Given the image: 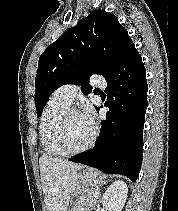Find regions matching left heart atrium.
<instances>
[{
  "mask_svg": "<svg viewBox=\"0 0 178 211\" xmlns=\"http://www.w3.org/2000/svg\"><path fill=\"white\" fill-rule=\"evenodd\" d=\"M80 115L89 126L94 128L95 126L94 113L90 106L86 105Z\"/></svg>",
  "mask_w": 178,
  "mask_h": 211,
  "instance_id": "left-heart-atrium-1",
  "label": "left heart atrium"
}]
</instances>
